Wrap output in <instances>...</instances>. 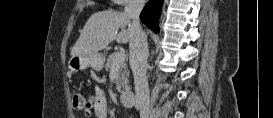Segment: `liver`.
<instances>
[{"instance_id":"obj_1","label":"liver","mask_w":273,"mask_h":118,"mask_svg":"<svg viewBox=\"0 0 273 118\" xmlns=\"http://www.w3.org/2000/svg\"><path fill=\"white\" fill-rule=\"evenodd\" d=\"M130 17L127 13L113 10L94 13L87 20L71 55H88L106 48L112 41L126 43L130 40L129 29ZM121 32L118 34V30Z\"/></svg>"}]
</instances>
